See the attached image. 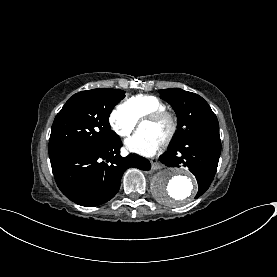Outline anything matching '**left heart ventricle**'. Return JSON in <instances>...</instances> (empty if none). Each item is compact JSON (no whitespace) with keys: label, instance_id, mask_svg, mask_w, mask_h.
<instances>
[{"label":"left heart ventricle","instance_id":"b2bd125f","mask_svg":"<svg viewBox=\"0 0 277 277\" xmlns=\"http://www.w3.org/2000/svg\"><path fill=\"white\" fill-rule=\"evenodd\" d=\"M140 130L146 131L158 139H162L168 131V123L166 121H146L140 124Z\"/></svg>","mask_w":277,"mask_h":277}]
</instances>
